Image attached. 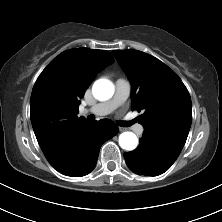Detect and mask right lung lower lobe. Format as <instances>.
Here are the masks:
<instances>
[{
  "label": "right lung lower lobe",
  "mask_w": 222,
  "mask_h": 222,
  "mask_svg": "<svg viewBox=\"0 0 222 222\" xmlns=\"http://www.w3.org/2000/svg\"><path fill=\"white\" fill-rule=\"evenodd\" d=\"M118 131V126L111 120L88 121L60 149L45 157L64 175L84 176L94 169L101 145Z\"/></svg>",
  "instance_id": "right-lung-lower-lobe-1"
}]
</instances>
